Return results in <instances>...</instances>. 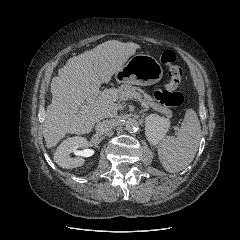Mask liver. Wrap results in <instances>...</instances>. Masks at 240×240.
Here are the masks:
<instances>
[{"label": "liver", "mask_w": 240, "mask_h": 240, "mask_svg": "<svg viewBox=\"0 0 240 240\" xmlns=\"http://www.w3.org/2000/svg\"><path fill=\"white\" fill-rule=\"evenodd\" d=\"M138 48L133 42L109 40L68 60L51 83L52 103L43 123L48 148L56 146L66 134H87L95 123L117 115V91L113 89L112 96L88 100L91 87L110 82Z\"/></svg>", "instance_id": "6515ba94"}]
</instances>
